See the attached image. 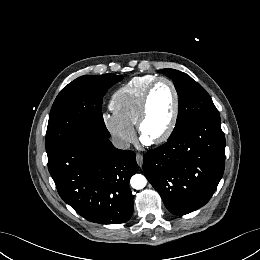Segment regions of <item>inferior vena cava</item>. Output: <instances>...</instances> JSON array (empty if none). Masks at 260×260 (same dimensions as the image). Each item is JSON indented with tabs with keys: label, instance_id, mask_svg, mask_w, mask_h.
<instances>
[{
	"label": "inferior vena cava",
	"instance_id": "inferior-vena-cava-1",
	"mask_svg": "<svg viewBox=\"0 0 260 260\" xmlns=\"http://www.w3.org/2000/svg\"><path fill=\"white\" fill-rule=\"evenodd\" d=\"M112 144L115 148L121 149V150H127L130 147V143L124 139L114 137L112 138Z\"/></svg>",
	"mask_w": 260,
	"mask_h": 260
}]
</instances>
